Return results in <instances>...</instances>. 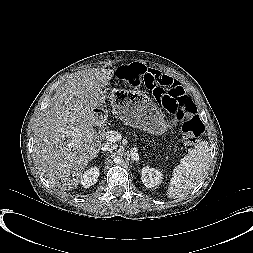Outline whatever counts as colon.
Instances as JSON below:
<instances>
[{
    "label": "colon",
    "mask_w": 253,
    "mask_h": 253,
    "mask_svg": "<svg viewBox=\"0 0 253 253\" xmlns=\"http://www.w3.org/2000/svg\"><path fill=\"white\" fill-rule=\"evenodd\" d=\"M147 69L139 63L122 65L117 70V77L132 85L140 86ZM153 96L159 105L170 115L182 122L183 141L185 145L197 143L203 133L204 124L197 116L193 100L181 86L157 87Z\"/></svg>",
    "instance_id": "colon-1"
}]
</instances>
